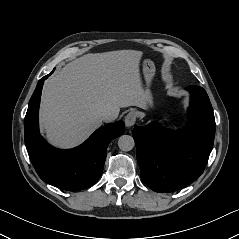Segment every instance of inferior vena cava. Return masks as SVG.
<instances>
[{"mask_svg": "<svg viewBox=\"0 0 239 239\" xmlns=\"http://www.w3.org/2000/svg\"><path fill=\"white\" fill-rule=\"evenodd\" d=\"M99 118L103 121H110L114 119V115L110 112H104L99 115Z\"/></svg>", "mask_w": 239, "mask_h": 239, "instance_id": "obj_1", "label": "inferior vena cava"}]
</instances>
